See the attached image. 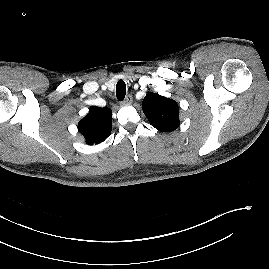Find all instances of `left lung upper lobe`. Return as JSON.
Instances as JSON below:
<instances>
[{
  "instance_id": "obj_1",
  "label": "left lung upper lobe",
  "mask_w": 269,
  "mask_h": 269,
  "mask_svg": "<svg viewBox=\"0 0 269 269\" xmlns=\"http://www.w3.org/2000/svg\"><path fill=\"white\" fill-rule=\"evenodd\" d=\"M142 109L153 127L162 132H171L178 128L179 107L176 101L148 93L142 103Z\"/></svg>"
}]
</instances>
